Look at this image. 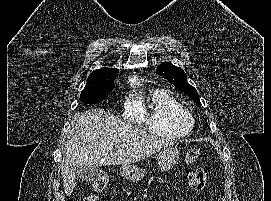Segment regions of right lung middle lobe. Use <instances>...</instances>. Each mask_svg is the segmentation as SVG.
<instances>
[{
	"label": "right lung middle lobe",
	"instance_id": "right-lung-middle-lobe-1",
	"mask_svg": "<svg viewBox=\"0 0 271 201\" xmlns=\"http://www.w3.org/2000/svg\"><path fill=\"white\" fill-rule=\"evenodd\" d=\"M115 77L116 75L87 79L80 100L85 104H94L104 100L114 89L113 80Z\"/></svg>",
	"mask_w": 271,
	"mask_h": 201
}]
</instances>
